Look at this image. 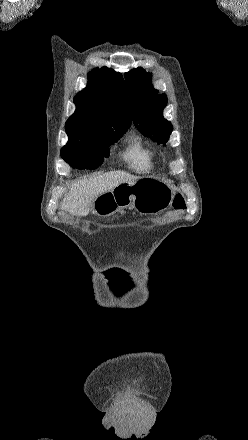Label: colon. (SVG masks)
I'll use <instances>...</instances> for the list:
<instances>
[{
  "label": "colon",
  "mask_w": 248,
  "mask_h": 440,
  "mask_svg": "<svg viewBox=\"0 0 248 440\" xmlns=\"http://www.w3.org/2000/svg\"><path fill=\"white\" fill-rule=\"evenodd\" d=\"M173 207L177 210L185 208V200L181 194H177L173 201Z\"/></svg>",
  "instance_id": "1"
}]
</instances>
